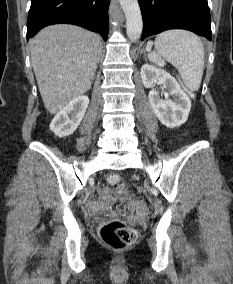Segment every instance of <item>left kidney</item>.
<instances>
[{"label": "left kidney", "instance_id": "left-kidney-1", "mask_svg": "<svg viewBox=\"0 0 233 284\" xmlns=\"http://www.w3.org/2000/svg\"><path fill=\"white\" fill-rule=\"evenodd\" d=\"M140 73L146 88L158 83L172 96V99L163 100L155 89L149 92V103L160 122L169 128L184 124L191 109V100L176 79L165 70L149 64H144Z\"/></svg>", "mask_w": 233, "mask_h": 284}]
</instances>
